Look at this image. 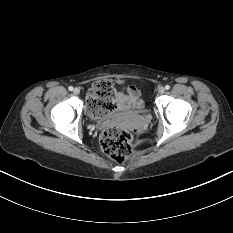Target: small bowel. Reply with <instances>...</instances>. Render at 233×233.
<instances>
[{
	"mask_svg": "<svg viewBox=\"0 0 233 233\" xmlns=\"http://www.w3.org/2000/svg\"><path fill=\"white\" fill-rule=\"evenodd\" d=\"M117 108L126 110L129 108H137L142 105L140 92L135 86H128L122 91L116 93Z\"/></svg>",
	"mask_w": 233,
	"mask_h": 233,
	"instance_id": "small-bowel-1",
	"label": "small bowel"
}]
</instances>
